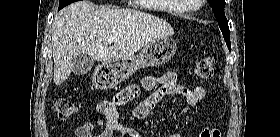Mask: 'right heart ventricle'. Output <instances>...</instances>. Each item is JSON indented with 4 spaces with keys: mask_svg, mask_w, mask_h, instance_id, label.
Instances as JSON below:
<instances>
[{
    "mask_svg": "<svg viewBox=\"0 0 280 137\" xmlns=\"http://www.w3.org/2000/svg\"><path fill=\"white\" fill-rule=\"evenodd\" d=\"M162 2H168V3H172V4H166L164 5V9L166 10V12L170 15H182L185 12H187L186 8L183 7L181 4H178L177 0H160Z\"/></svg>",
    "mask_w": 280,
    "mask_h": 137,
    "instance_id": "obj_1",
    "label": "right heart ventricle"
}]
</instances>
